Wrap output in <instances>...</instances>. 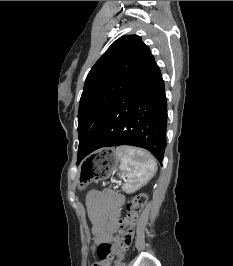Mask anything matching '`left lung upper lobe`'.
I'll use <instances>...</instances> for the list:
<instances>
[{
  "label": "left lung upper lobe",
  "mask_w": 233,
  "mask_h": 266,
  "mask_svg": "<svg viewBox=\"0 0 233 266\" xmlns=\"http://www.w3.org/2000/svg\"><path fill=\"white\" fill-rule=\"evenodd\" d=\"M151 56L140 36L127 35L117 39L92 67L79 103L78 155Z\"/></svg>",
  "instance_id": "obj_1"
}]
</instances>
